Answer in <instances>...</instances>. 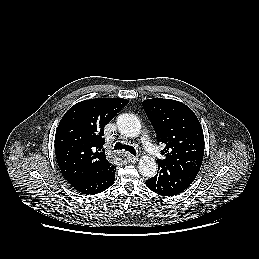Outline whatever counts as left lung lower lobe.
I'll return each instance as SVG.
<instances>
[{"mask_svg": "<svg viewBox=\"0 0 259 259\" xmlns=\"http://www.w3.org/2000/svg\"><path fill=\"white\" fill-rule=\"evenodd\" d=\"M191 183L175 171L158 164L157 174L146 181V186L163 196H174L189 187Z\"/></svg>", "mask_w": 259, "mask_h": 259, "instance_id": "0a47b994", "label": "left lung lower lobe"}]
</instances>
